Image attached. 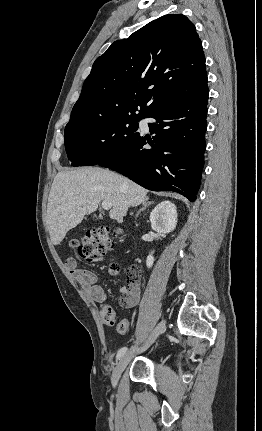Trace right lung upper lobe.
<instances>
[{
  "label": "right lung upper lobe",
  "instance_id": "right-lung-upper-lobe-1",
  "mask_svg": "<svg viewBox=\"0 0 262 431\" xmlns=\"http://www.w3.org/2000/svg\"><path fill=\"white\" fill-rule=\"evenodd\" d=\"M206 85L195 26L182 14H168L115 41L95 60L66 126L121 116L146 118L192 98Z\"/></svg>",
  "mask_w": 262,
  "mask_h": 431
}]
</instances>
